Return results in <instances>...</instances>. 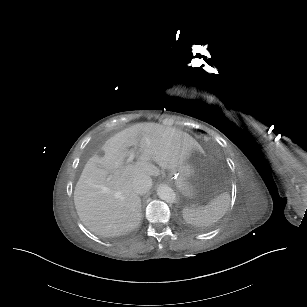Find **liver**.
I'll return each instance as SVG.
<instances>
[{"label": "liver", "mask_w": 307, "mask_h": 307, "mask_svg": "<svg viewBox=\"0 0 307 307\" xmlns=\"http://www.w3.org/2000/svg\"><path fill=\"white\" fill-rule=\"evenodd\" d=\"M139 145V160L125 164L129 148ZM198 147L186 132L157 123H138L110 138L103 157L93 156L84 166L74 191L77 214L90 231L115 236L138 226L141 199L132 182L139 175L159 176V169L175 171ZM102 187L109 190L103 192Z\"/></svg>", "instance_id": "liver-1"}]
</instances>
